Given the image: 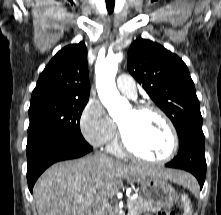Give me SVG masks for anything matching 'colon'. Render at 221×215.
I'll list each match as a JSON object with an SVG mask.
<instances>
[{"label":"colon","mask_w":221,"mask_h":215,"mask_svg":"<svg viewBox=\"0 0 221 215\" xmlns=\"http://www.w3.org/2000/svg\"><path fill=\"white\" fill-rule=\"evenodd\" d=\"M158 215H177L175 212H161Z\"/></svg>","instance_id":"5ec220e1"}]
</instances>
